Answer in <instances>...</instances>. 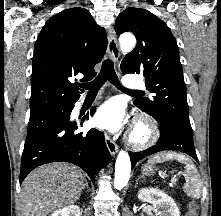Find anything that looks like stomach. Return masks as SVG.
<instances>
[{"label":"stomach","mask_w":221,"mask_h":216,"mask_svg":"<svg viewBox=\"0 0 221 216\" xmlns=\"http://www.w3.org/2000/svg\"><path fill=\"white\" fill-rule=\"evenodd\" d=\"M144 175H153L155 173V167L151 164L145 165L142 170Z\"/></svg>","instance_id":"obj_1"}]
</instances>
